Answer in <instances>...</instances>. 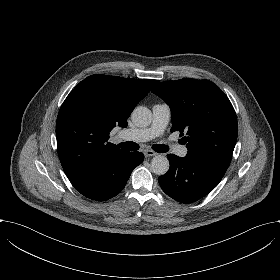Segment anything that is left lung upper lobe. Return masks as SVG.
I'll use <instances>...</instances> for the list:
<instances>
[{
	"label": "left lung upper lobe",
	"mask_w": 280,
	"mask_h": 280,
	"mask_svg": "<svg viewBox=\"0 0 280 280\" xmlns=\"http://www.w3.org/2000/svg\"><path fill=\"white\" fill-rule=\"evenodd\" d=\"M171 107V132L184 133L187 155L230 164L237 140V118L223 91L208 80L159 83L152 91Z\"/></svg>",
	"instance_id": "left-lung-upper-lobe-1"
}]
</instances>
